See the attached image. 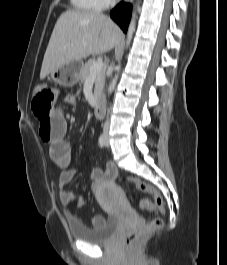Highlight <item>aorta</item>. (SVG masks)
<instances>
[{
  "mask_svg": "<svg viewBox=\"0 0 227 265\" xmlns=\"http://www.w3.org/2000/svg\"><path fill=\"white\" fill-rule=\"evenodd\" d=\"M136 17H137L136 11H133L132 18H131V21H130V24H129V27H128V31H127L126 48L130 45V42H131L132 37H133V33L135 32ZM116 70H117V73H116L115 77L113 78V80L110 83L109 88H108V93L109 94L112 93V91L114 90V88L116 86V83H117V80H118V75H119V72L121 70V65H118Z\"/></svg>",
  "mask_w": 227,
  "mask_h": 265,
  "instance_id": "aorta-1",
  "label": "aorta"
}]
</instances>
